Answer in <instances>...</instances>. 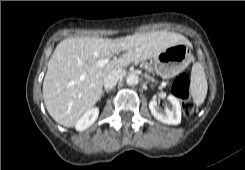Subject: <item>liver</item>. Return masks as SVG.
<instances>
[{
    "label": "liver",
    "mask_w": 245,
    "mask_h": 170,
    "mask_svg": "<svg viewBox=\"0 0 245 170\" xmlns=\"http://www.w3.org/2000/svg\"><path fill=\"white\" fill-rule=\"evenodd\" d=\"M191 45L178 33L153 31L118 39L70 37L55 48L43 81V98L50 116L60 125L73 127L98 102L103 81L110 72L124 71L133 61L153 58L167 48ZM124 51L105 66L97 62Z\"/></svg>",
    "instance_id": "obj_1"
}]
</instances>
